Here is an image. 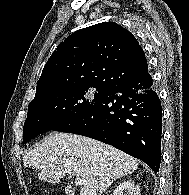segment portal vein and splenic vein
Returning a JSON list of instances; mask_svg holds the SVG:
<instances>
[{"label":"portal vein and splenic vein","mask_w":189,"mask_h":195,"mask_svg":"<svg viewBox=\"0 0 189 195\" xmlns=\"http://www.w3.org/2000/svg\"><path fill=\"white\" fill-rule=\"evenodd\" d=\"M86 183H87L86 180L80 178L79 176H76V178H75L76 185H85Z\"/></svg>","instance_id":"obj_1"}]
</instances>
